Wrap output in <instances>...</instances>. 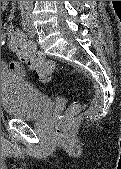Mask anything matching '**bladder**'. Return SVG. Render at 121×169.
<instances>
[{
	"mask_svg": "<svg viewBox=\"0 0 121 169\" xmlns=\"http://www.w3.org/2000/svg\"><path fill=\"white\" fill-rule=\"evenodd\" d=\"M1 104L6 115L24 121L39 120L53 108L50 97L13 72L1 75Z\"/></svg>",
	"mask_w": 121,
	"mask_h": 169,
	"instance_id": "1",
	"label": "bladder"
}]
</instances>
